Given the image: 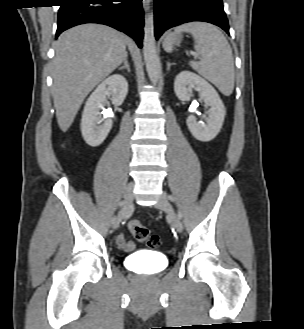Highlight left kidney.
I'll use <instances>...</instances> for the list:
<instances>
[{
  "label": "left kidney",
  "instance_id": "obj_1",
  "mask_svg": "<svg viewBox=\"0 0 304 329\" xmlns=\"http://www.w3.org/2000/svg\"><path fill=\"white\" fill-rule=\"evenodd\" d=\"M193 89L200 93L201 98L210 108L207 112L206 124L197 122L196 117L190 115L187 119V126L197 140L208 142L220 132L226 110L217 91L205 79L190 71L180 72L174 82V91L178 99L189 101Z\"/></svg>",
  "mask_w": 304,
  "mask_h": 329
}]
</instances>
